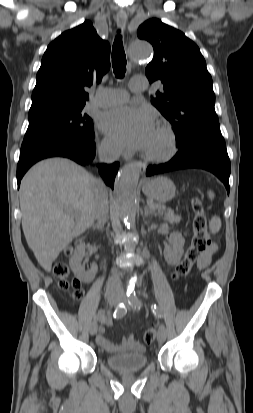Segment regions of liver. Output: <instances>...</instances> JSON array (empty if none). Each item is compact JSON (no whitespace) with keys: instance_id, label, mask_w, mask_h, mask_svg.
Wrapping results in <instances>:
<instances>
[{"instance_id":"6515ba94","label":"liver","mask_w":253,"mask_h":413,"mask_svg":"<svg viewBox=\"0 0 253 413\" xmlns=\"http://www.w3.org/2000/svg\"><path fill=\"white\" fill-rule=\"evenodd\" d=\"M98 181L65 158L40 161L23 177L22 228L45 271L50 272L59 253L94 223Z\"/></svg>"}]
</instances>
